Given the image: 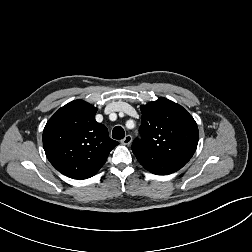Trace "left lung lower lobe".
Returning a JSON list of instances; mask_svg holds the SVG:
<instances>
[{"label": "left lung lower lobe", "mask_w": 252, "mask_h": 252, "mask_svg": "<svg viewBox=\"0 0 252 252\" xmlns=\"http://www.w3.org/2000/svg\"><path fill=\"white\" fill-rule=\"evenodd\" d=\"M138 161L145 169L157 175L174 173L188 162L177 158L138 159Z\"/></svg>", "instance_id": "obj_1"}]
</instances>
